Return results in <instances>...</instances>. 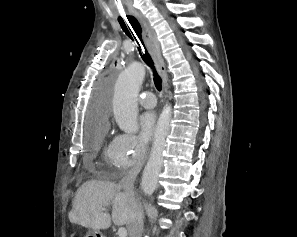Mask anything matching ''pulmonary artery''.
<instances>
[{"label":"pulmonary artery","mask_w":297,"mask_h":237,"mask_svg":"<svg viewBox=\"0 0 297 237\" xmlns=\"http://www.w3.org/2000/svg\"><path fill=\"white\" fill-rule=\"evenodd\" d=\"M142 76V71L139 69L138 77ZM139 103L145 108H153L156 106V100L153 93L145 91L139 96Z\"/></svg>","instance_id":"e3ab8cb5"}]
</instances>
